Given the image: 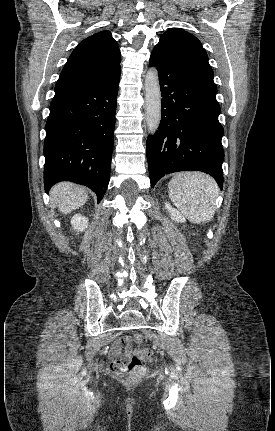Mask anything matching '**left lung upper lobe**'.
I'll use <instances>...</instances> for the list:
<instances>
[{
	"label": "left lung upper lobe",
	"mask_w": 275,
	"mask_h": 431,
	"mask_svg": "<svg viewBox=\"0 0 275 431\" xmlns=\"http://www.w3.org/2000/svg\"><path fill=\"white\" fill-rule=\"evenodd\" d=\"M154 48L186 70L207 93L216 96L217 87L207 53L194 35L180 28H171L162 34Z\"/></svg>",
	"instance_id": "obj_1"
}]
</instances>
